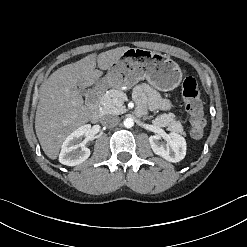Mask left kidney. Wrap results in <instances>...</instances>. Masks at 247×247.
<instances>
[{
    "label": "left kidney",
    "instance_id": "left-kidney-1",
    "mask_svg": "<svg viewBox=\"0 0 247 247\" xmlns=\"http://www.w3.org/2000/svg\"><path fill=\"white\" fill-rule=\"evenodd\" d=\"M149 142L153 152L169 162L176 163L185 157L186 141L176 133H170L167 136L165 145L160 142V136L158 135L150 136Z\"/></svg>",
    "mask_w": 247,
    "mask_h": 247
}]
</instances>
